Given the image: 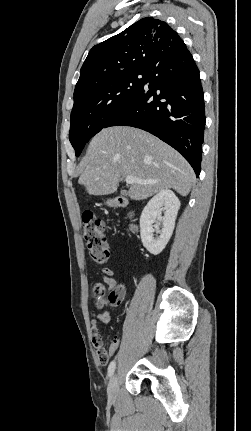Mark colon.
Segmentation results:
<instances>
[{
  "mask_svg": "<svg viewBox=\"0 0 251 431\" xmlns=\"http://www.w3.org/2000/svg\"><path fill=\"white\" fill-rule=\"evenodd\" d=\"M82 234L86 243L87 251L90 258L96 264H104L109 258V250L105 236V224L97 218L92 212H86L82 217ZM93 294L97 299L102 298L104 295V288L97 284L93 288ZM123 298V290L118 289L112 291L108 295V303L110 305H117ZM119 338L115 337L109 345V357H114L119 349Z\"/></svg>",
  "mask_w": 251,
  "mask_h": 431,
  "instance_id": "obj_1",
  "label": "colon"
}]
</instances>
